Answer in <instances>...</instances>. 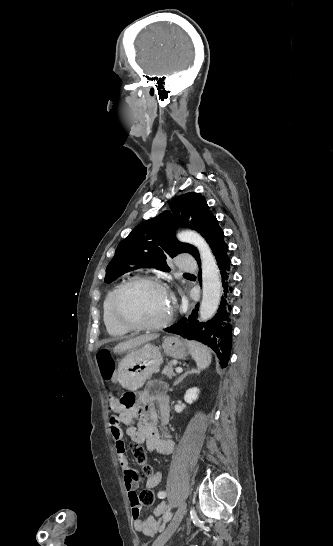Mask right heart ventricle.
<instances>
[{"label": "right heart ventricle", "instance_id": "e07e8e85", "mask_svg": "<svg viewBox=\"0 0 333 546\" xmlns=\"http://www.w3.org/2000/svg\"><path fill=\"white\" fill-rule=\"evenodd\" d=\"M123 282L117 283L105 296L103 301V322L109 335L113 337H122L126 335L129 330L121 326L113 315V299L119 286Z\"/></svg>", "mask_w": 333, "mask_h": 546}]
</instances>
